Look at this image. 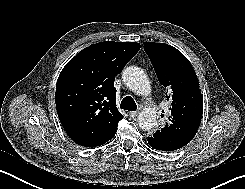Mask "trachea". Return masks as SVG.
Returning <instances> with one entry per match:
<instances>
[{
  "label": "trachea",
  "instance_id": "obj_1",
  "mask_svg": "<svg viewBox=\"0 0 245 189\" xmlns=\"http://www.w3.org/2000/svg\"><path fill=\"white\" fill-rule=\"evenodd\" d=\"M120 108L128 111H135L137 109V105L131 96H126L121 101Z\"/></svg>",
  "mask_w": 245,
  "mask_h": 189
}]
</instances>
